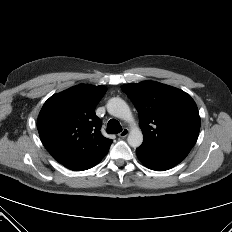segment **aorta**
I'll return each mask as SVG.
<instances>
[{"label": "aorta", "mask_w": 232, "mask_h": 232, "mask_svg": "<svg viewBox=\"0 0 232 232\" xmlns=\"http://www.w3.org/2000/svg\"><path fill=\"white\" fill-rule=\"evenodd\" d=\"M107 111L110 115L117 117L119 119L131 122L132 121V113L128 106V104L119 97L111 98L107 102ZM128 144L133 147H139L143 142V134L140 128L134 127L131 129L128 137Z\"/></svg>", "instance_id": "762f6f07"}]
</instances>
